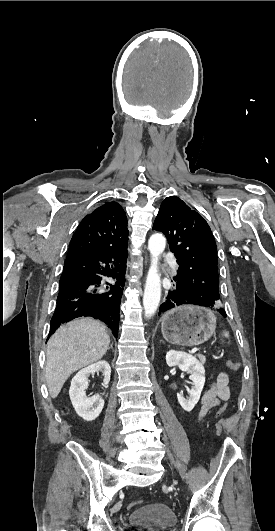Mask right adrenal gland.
<instances>
[{
    "mask_svg": "<svg viewBox=\"0 0 275 531\" xmlns=\"http://www.w3.org/2000/svg\"><path fill=\"white\" fill-rule=\"evenodd\" d=\"M108 349H112L113 353H114V349H113V343H111L110 347H108Z\"/></svg>",
    "mask_w": 275,
    "mask_h": 531,
    "instance_id": "right-adrenal-gland-1",
    "label": "right adrenal gland"
}]
</instances>
